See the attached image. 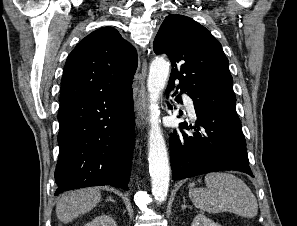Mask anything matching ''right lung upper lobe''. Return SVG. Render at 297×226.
Here are the masks:
<instances>
[{
    "mask_svg": "<svg viewBox=\"0 0 297 226\" xmlns=\"http://www.w3.org/2000/svg\"><path fill=\"white\" fill-rule=\"evenodd\" d=\"M137 62L135 48L115 28L103 27L92 32L66 60L60 102L92 93H120L130 88Z\"/></svg>",
    "mask_w": 297,
    "mask_h": 226,
    "instance_id": "right-lung-upper-lobe-1",
    "label": "right lung upper lobe"
}]
</instances>
